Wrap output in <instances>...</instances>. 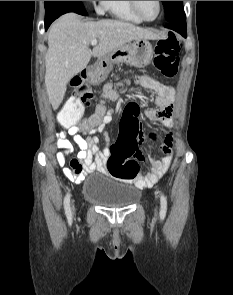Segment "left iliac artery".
<instances>
[{"instance_id": "obj_1", "label": "left iliac artery", "mask_w": 233, "mask_h": 295, "mask_svg": "<svg viewBox=\"0 0 233 295\" xmlns=\"http://www.w3.org/2000/svg\"><path fill=\"white\" fill-rule=\"evenodd\" d=\"M166 211H167V199L163 194H161L160 196V218L161 219L165 218Z\"/></svg>"}]
</instances>
